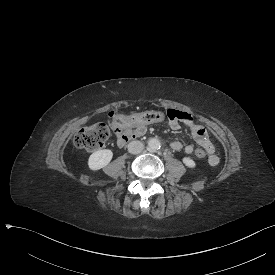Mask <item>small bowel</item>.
Instances as JSON below:
<instances>
[{
    "label": "small bowel",
    "mask_w": 275,
    "mask_h": 275,
    "mask_svg": "<svg viewBox=\"0 0 275 275\" xmlns=\"http://www.w3.org/2000/svg\"><path fill=\"white\" fill-rule=\"evenodd\" d=\"M169 113L171 115L169 126L172 130H178L181 124H185L187 128L191 131L192 137L209 154V164L215 166L218 164V157L214 154L215 148L211 142L206 129L195 123L192 118L191 112H184L180 110L170 109ZM146 131L145 124L143 123H134L126 128L117 129L119 139H124L125 141L129 136L139 137L142 136ZM170 147L173 150L180 151L184 150L187 154L193 152V146L191 144L184 145L181 141L174 140L170 142Z\"/></svg>",
    "instance_id": "1"
}]
</instances>
